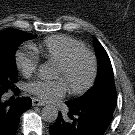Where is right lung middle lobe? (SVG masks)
<instances>
[{
    "mask_svg": "<svg viewBox=\"0 0 135 135\" xmlns=\"http://www.w3.org/2000/svg\"><path fill=\"white\" fill-rule=\"evenodd\" d=\"M34 37L36 36L15 29L0 32V94L16 89L14 84L18 73L15 50L19 44Z\"/></svg>",
    "mask_w": 135,
    "mask_h": 135,
    "instance_id": "obj_1",
    "label": "right lung middle lobe"
}]
</instances>
